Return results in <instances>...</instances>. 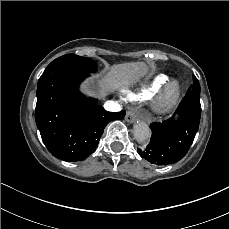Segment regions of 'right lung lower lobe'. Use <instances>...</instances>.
<instances>
[{
    "label": "right lung lower lobe",
    "mask_w": 229,
    "mask_h": 229,
    "mask_svg": "<svg viewBox=\"0 0 229 229\" xmlns=\"http://www.w3.org/2000/svg\"><path fill=\"white\" fill-rule=\"evenodd\" d=\"M89 73L59 72L38 83L35 120L48 151L68 162L82 161L98 146L105 126L125 111L107 112L79 92Z\"/></svg>",
    "instance_id": "1"
}]
</instances>
